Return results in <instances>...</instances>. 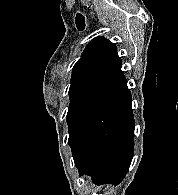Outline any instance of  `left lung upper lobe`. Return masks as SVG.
<instances>
[{"label":"left lung upper lobe","instance_id":"5c2ea615","mask_svg":"<svg viewBox=\"0 0 178 195\" xmlns=\"http://www.w3.org/2000/svg\"><path fill=\"white\" fill-rule=\"evenodd\" d=\"M70 83L68 142L127 88L115 44L104 37L89 42L73 67Z\"/></svg>","mask_w":178,"mask_h":195}]
</instances>
